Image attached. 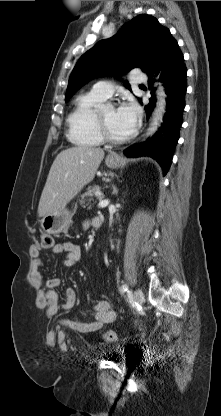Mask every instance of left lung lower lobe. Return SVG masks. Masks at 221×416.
<instances>
[{
  "label": "left lung lower lobe",
  "instance_id": "left-lung-lower-lobe-1",
  "mask_svg": "<svg viewBox=\"0 0 221 416\" xmlns=\"http://www.w3.org/2000/svg\"><path fill=\"white\" fill-rule=\"evenodd\" d=\"M148 67L156 75L159 74L161 82L164 83L167 94L166 114L161 127L152 138L139 145L129 147L124 154L130 157H153L161 165L165 175L172 163L175 146L179 139L187 90V70L184 65L183 54L169 30L163 35L158 48L149 61ZM149 70L147 71L151 78ZM154 81V79L149 81V87L152 86ZM154 91L155 89H152L150 103L145 106L147 118L155 107Z\"/></svg>",
  "mask_w": 221,
  "mask_h": 416
}]
</instances>
